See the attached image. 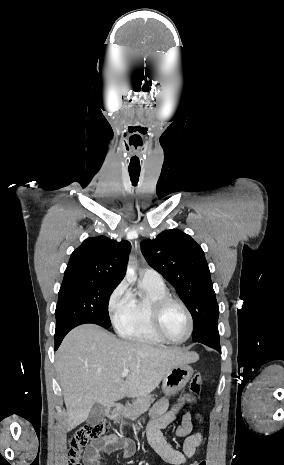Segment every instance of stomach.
<instances>
[{"label": "stomach", "instance_id": "0dacf381", "mask_svg": "<svg viewBox=\"0 0 284 465\" xmlns=\"http://www.w3.org/2000/svg\"><path fill=\"white\" fill-rule=\"evenodd\" d=\"M194 371L189 365H179L171 369L162 381V391L166 397H174L189 383Z\"/></svg>", "mask_w": 284, "mask_h": 465}]
</instances>
